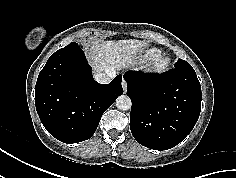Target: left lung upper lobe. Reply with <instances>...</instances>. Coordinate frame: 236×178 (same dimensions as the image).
<instances>
[{"label": "left lung upper lobe", "mask_w": 236, "mask_h": 178, "mask_svg": "<svg viewBox=\"0 0 236 178\" xmlns=\"http://www.w3.org/2000/svg\"><path fill=\"white\" fill-rule=\"evenodd\" d=\"M174 67H175V68H180V69H182V68H192V66H191L188 62H186V61H184V60H182V59H179V60L175 63Z\"/></svg>", "instance_id": "left-lung-upper-lobe-1"}]
</instances>
